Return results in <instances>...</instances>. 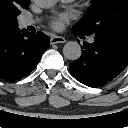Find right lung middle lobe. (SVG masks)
<instances>
[{
  "label": "right lung middle lobe",
  "mask_w": 128,
  "mask_h": 128,
  "mask_svg": "<svg viewBox=\"0 0 128 128\" xmlns=\"http://www.w3.org/2000/svg\"><path fill=\"white\" fill-rule=\"evenodd\" d=\"M28 6L29 2H26L24 4L13 3L5 6L4 8H1L0 11L3 12L5 16H8L9 20L15 27H18V20L16 19V17L21 13L20 9H26Z\"/></svg>",
  "instance_id": "obj_1"
}]
</instances>
